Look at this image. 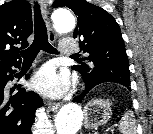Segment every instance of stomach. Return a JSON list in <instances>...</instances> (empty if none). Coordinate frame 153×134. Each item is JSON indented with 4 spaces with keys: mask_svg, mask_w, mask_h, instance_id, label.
I'll use <instances>...</instances> for the list:
<instances>
[{
    "mask_svg": "<svg viewBox=\"0 0 153 134\" xmlns=\"http://www.w3.org/2000/svg\"><path fill=\"white\" fill-rule=\"evenodd\" d=\"M85 127L96 128L106 124L112 115L110 104L102 99H93L84 107Z\"/></svg>",
    "mask_w": 153,
    "mask_h": 134,
    "instance_id": "stomach-1",
    "label": "stomach"
}]
</instances>
